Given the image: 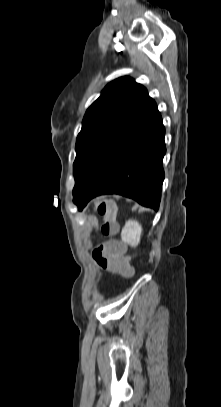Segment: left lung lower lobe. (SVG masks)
I'll return each instance as SVG.
<instances>
[{
    "instance_id": "obj_1",
    "label": "left lung lower lobe",
    "mask_w": 221,
    "mask_h": 407,
    "mask_svg": "<svg viewBox=\"0 0 221 407\" xmlns=\"http://www.w3.org/2000/svg\"><path fill=\"white\" fill-rule=\"evenodd\" d=\"M165 129L157 105L148 99L121 132L84 186L73 196L82 210L92 198L120 194L159 208L164 180Z\"/></svg>"
}]
</instances>
